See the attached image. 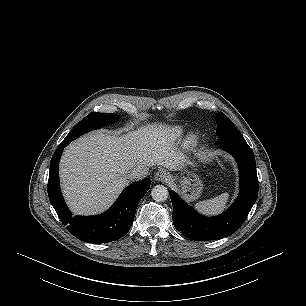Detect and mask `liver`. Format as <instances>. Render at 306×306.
Listing matches in <instances>:
<instances>
[{
	"label": "liver",
	"instance_id": "liver-1",
	"mask_svg": "<svg viewBox=\"0 0 306 306\" xmlns=\"http://www.w3.org/2000/svg\"><path fill=\"white\" fill-rule=\"evenodd\" d=\"M186 162L173 130L162 124H148L121 136L96 131L65 148L60 180L70 209L90 215L114 202L129 184L133 168L160 165L176 170Z\"/></svg>",
	"mask_w": 306,
	"mask_h": 306
}]
</instances>
